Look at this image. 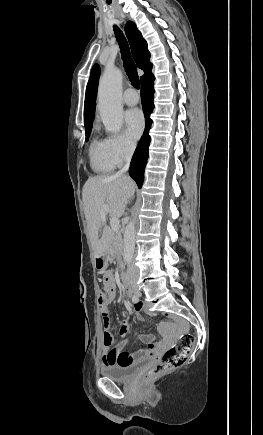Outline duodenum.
Instances as JSON below:
<instances>
[{"instance_id":"410a0bca","label":"duodenum","mask_w":263,"mask_h":435,"mask_svg":"<svg viewBox=\"0 0 263 435\" xmlns=\"http://www.w3.org/2000/svg\"><path fill=\"white\" fill-rule=\"evenodd\" d=\"M120 278H121V281H122V283H123V286H124V288H125V290H126L127 295L130 296V295L132 294V289H131V285H130V283H129V280H128L126 274H125V273H122L121 276H120Z\"/></svg>"}]
</instances>
